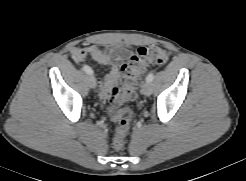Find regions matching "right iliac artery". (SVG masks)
<instances>
[{"mask_svg":"<svg viewBox=\"0 0 246 181\" xmlns=\"http://www.w3.org/2000/svg\"><path fill=\"white\" fill-rule=\"evenodd\" d=\"M83 70L87 73V74H90V75H93V70L89 67V66H87V65H84L83 66Z\"/></svg>","mask_w":246,"mask_h":181,"instance_id":"obj_1","label":"right iliac artery"}]
</instances>
